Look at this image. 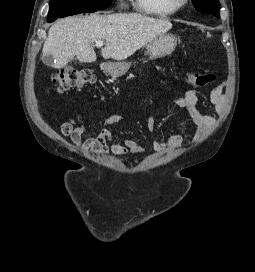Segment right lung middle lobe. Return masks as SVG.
Wrapping results in <instances>:
<instances>
[{
    "mask_svg": "<svg viewBox=\"0 0 255 272\" xmlns=\"http://www.w3.org/2000/svg\"><path fill=\"white\" fill-rule=\"evenodd\" d=\"M111 2L112 0H52L47 20L54 21L79 13L96 12L109 7Z\"/></svg>",
    "mask_w": 255,
    "mask_h": 272,
    "instance_id": "obj_1",
    "label": "right lung middle lobe"
}]
</instances>
